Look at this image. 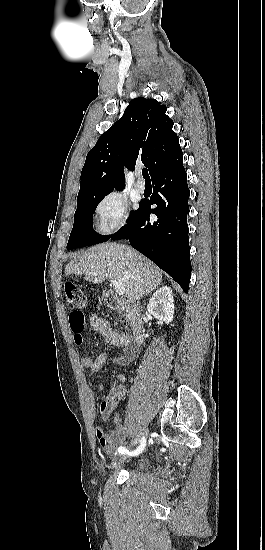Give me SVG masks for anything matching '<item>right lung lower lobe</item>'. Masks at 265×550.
I'll return each instance as SVG.
<instances>
[{
	"instance_id": "98d812e1",
	"label": "right lung lower lobe",
	"mask_w": 265,
	"mask_h": 550,
	"mask_svg": "<svg viewBox=\"0 0 265 550\" xmlns=\"http://www.w3.org/2000/svg\"><path fill=\"white\" fill-rule=\"evenodd\" d=\"M182 160L179 149L153 174L150 200L141 202L128 224L110 238L128 239L132 247L167 272L187 293L191 277L187 225L190 192ZM152 204L157 207L151 209ZM151 213L157 216L156 221L150 220Z\"/></svg>"
}]
</instances>
